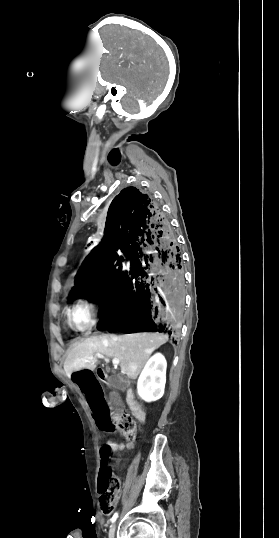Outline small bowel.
Listing matches in <instances>:
<instances>
[{
	"label": "small bowel",
	"instance_id": "small-bowel-1",
	"mask_svg": "<svg viewBox=\"0 0 279 538\" xmlns=\"http://www.w3.org/2000/svg\"><path fill=\"white\" fill-rule=\"evenodd\" d=\"M108 444L112 447V449L115 452H118V453H123L124 451L132 448L131 445H125L124 443H121V442H109Z\"/></svg>",
	"mask_w": 279,
	"mask_h": 538
}]
</instances>
